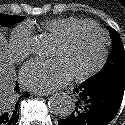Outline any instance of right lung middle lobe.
<instances>
[{
	"label": "right lung middle lobe",
	"instance_id": "dd1d6c3e",
	"mask_svg": "<svg viewBox=\"0 0 125 125\" xmlns=\"http://www.w3.org/2000/svg\"><path fill=\"white\" fill-rule=\"evenodd\" d=\"M23 18H24V16H13V15H7V14L0 13V25L11 26V25L16 24L17 22L21 21Z\"/></svg>",
	"mask_w": 125,
	"mask_h": 125
}]
</instances>
